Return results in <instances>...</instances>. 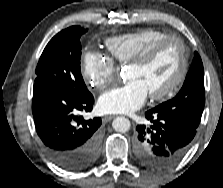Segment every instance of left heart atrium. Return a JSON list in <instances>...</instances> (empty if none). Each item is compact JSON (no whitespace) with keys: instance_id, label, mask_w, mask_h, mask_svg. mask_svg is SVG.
I'll use <instances>...</instances> for the list:
<instances>
[{"instance_id":"left-heart-atrium-1","label":"left heart atrium","mask_w":223,"mask_h":188,"mask_svg":"<svg viewBox=\"0 0 223 188\" xmlns=\"http://www.w3.org/2000/svg\"><path fill=\"white\" fill-rule=\"evenodd\" d=\"M147 96V90L139 81L128 80L123 85L103 93L97 107L105 114H129L139 109Z\"/></svg>"}]
</instances>
